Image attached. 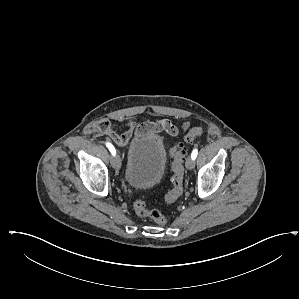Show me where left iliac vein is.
Listing matches in <instances>:
<instances>
[{
  "instance_id": "obj_1",
  "label": "left iliac vein",
  "mask_w": 299,
  "mask_h": 299,
  "mask_svg": "<svg viewBox=\"0 0 299 299\" xmlns=\"http://www.w3.org/2000/svg\"><path fill=\"white\" fill-rule=\"evenodd\" d=\"M195 162L191 157H188L186 160V168L192 170L194 168Z\"/></svg>"
}]
</instances>
